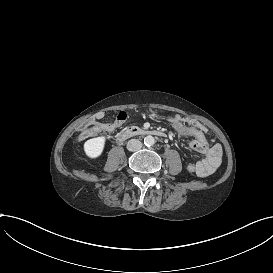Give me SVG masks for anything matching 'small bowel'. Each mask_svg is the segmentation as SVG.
I'll return each mask as SVG.
<instances>
[{
    "label": "small bowel",
    "mask_w": 273,
    "mask_h": 273,
    "mask_svg": "<svg viewBox=\"0 0 273 273\" xmlns=\"http://www.w3.org/2000/svg\"><path fill=\"white\" fill-rule=\"evenodd\" d=\"M94 126L89 131L80 129L83 136L89 137L98 133H115L123 127L127 121V113L120 111L114 119L105 120L104 112H97L95 115ZM170 126L179 137H190L193 140L190 143V148L204 156V159L197 162L194 166L198 176L206 177L213 173L220 165L222 159V147L219 144L210 145L206 133L207 128L197 120L183 114H175L167 119Z\"/></svg>",
    "instance_id": "small-bowel-1"
}]
</instances>
